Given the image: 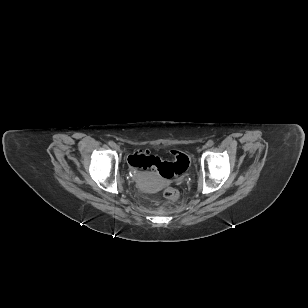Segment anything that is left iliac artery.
Returning <instances> with one entry per match:
<instances>
[{
    "label": "left iliac artery",
    "mask_w": 308,
    "mask_h": 308,
    "mask_svg": "<svg viewBox=\"0 0 308 308\" xmlns=\"http://www.w3.org/2000/svg\"><path fill=\"white\" fill-rule=\"evenodd\" d=\"M213 145H214L213 140H209V141L207 142V146H208V147H211V146H213Z\"/></svg>",
    "instance_id": "obj_1"
}]
</instances>
